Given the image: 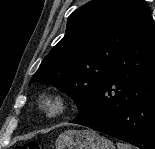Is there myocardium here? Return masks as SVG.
I'll list each match as a JSON object with an SVG mask.
<instances>
[{"instance_id":"obj_1","label":"myocardium","mask_w":155,"mask_h":149,"mask_svg":"<svg viewBox=\"0 0 155 149\" xmlns=\"http://www.w3.org/2000/svg\"><path fill=\"white\" fill-rule=\"evenodd\" d=\"M38 106L46 118L55 119L67 112L69 100L63 94L50 93L41 97Z\"/></svg>"}]
</instances>
